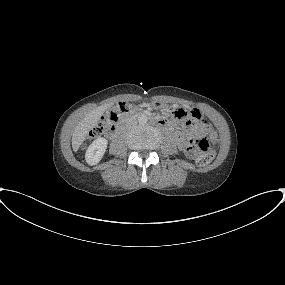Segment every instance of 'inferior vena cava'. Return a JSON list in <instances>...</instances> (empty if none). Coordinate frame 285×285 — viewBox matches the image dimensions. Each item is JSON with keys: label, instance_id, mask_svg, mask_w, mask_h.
I'll return each instance as SVG.
<instances>
[{"label": "inferior vena cava", "instance_id": "1", "mask_svg": "<svg viewBox=\"0 0 285 285\" xmlns=\"http://www.w3.org/2000/svg\"><path fill=\"white\" fill-rule=\"evenodd\" d=\"M135 125V123L134 124H131V125H128V127H132V126H134Z\"/></svg>", "mask_w": 285, "mask_h": 285}]
</instances>
